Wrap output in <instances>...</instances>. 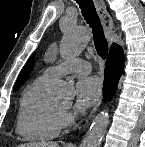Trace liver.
<instances>
[{"label": "liver", "instance_id": "1", "mask_svg": "<svg viewBox=\"0 0 145 147\" xmlns=\"http://www.w3.org/2000/svg\"><path fill=\"white\" fill-rule=\"evenodd\" d=\"M18 147H59L57 142L25 143Z\"/></svg>", "mask_w": 145, "mask_h": 147}]
</instances>
